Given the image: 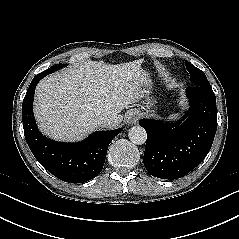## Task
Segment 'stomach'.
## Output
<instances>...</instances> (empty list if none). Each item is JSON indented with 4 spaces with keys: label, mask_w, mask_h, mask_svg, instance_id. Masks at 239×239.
I'll use <instances>...</instances> for the list:
<instances>
[{
    "label": "stomach",
    "mask_w": 239,
    "mask_h": 239,
    "mask_svg": "<svg viewBox=\"0 0 239 239\" xmlns=\"http://www.w3.org/2000/svg\"><path fill=\"white\" fill-rule=\"evenodd\" d=\"M144 84H145L144 87L146 88V89H144L146 100H145V102H143L144 105L140 106L141 111H139V112L141 114L148 113L150 111V109L153 107V104H154V101L149 98V93H150L149 89L151 88V84H152L149 77H147V80Z\"/></svg>",
    "instance_id": "0dacf381"
}]
</instances>
